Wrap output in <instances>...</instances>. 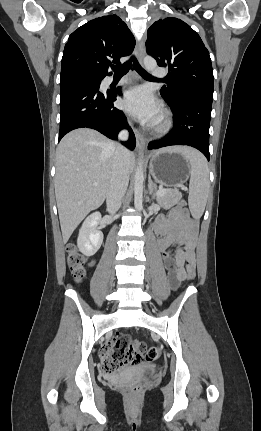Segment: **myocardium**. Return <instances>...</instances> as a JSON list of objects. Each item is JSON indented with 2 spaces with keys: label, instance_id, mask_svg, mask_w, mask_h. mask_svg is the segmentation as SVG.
<instances>
[{
  "label": "myocardium",
  "instance_id": "f54148a6",
  "mask_svg": "<svg viewBox=\"0 0 261 431\" xmlns=\"http://www.w3.org/2000/svg\"><path fill=\"white\" fill-rule=\"evenodd\" d=\"M172 128V120L168 113H164L155 127L157 133L165 134Z\"/></svg>",
  "mask_w": 261,
  "mask_h": 431
}]
</instances>
